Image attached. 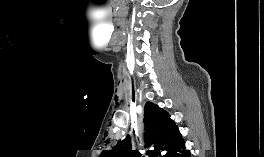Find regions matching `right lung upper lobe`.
<instances>
[{"label":"right lung upper lobe","instance_id":"1","mask_svg":"<svg viewBox=\"0 0 264 157\" xmlns=\"http://www.w3.org/2000/svg\"><path fill=\"white\" fill-rule=\"evenodd\" d=\"M144 122L146 129V146L154 145L159 151H169L182 139L179 129L166 111L157 105L148 102L144 108ZM100 157H141L138 150L131 148V140L128 135L124 140L108 151H103ZM149 157H154L151 154Z\"/></svg>","mask_w":264,"mask_h":157}]
</instances>
